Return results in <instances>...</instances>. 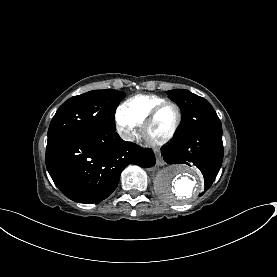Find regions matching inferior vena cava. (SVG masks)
<instances>
[{
  "instance_id": "602c4592",
  "label": "inferior vena cava",
  "mask_w": 277,
  "mask_h": 277,
  "mask_svg": "<svg viewBox=\"0 0 277 277\" xmlns=\"http://www.w3.org/2000/svg\"><path fill=\"white\" fill-rule=\"evenodd\" d=\"M120 137L123 138V139H127V140H131L132 139L130 134H124L122 132L120 134Z\"/></svg>"
}]
</instances>
